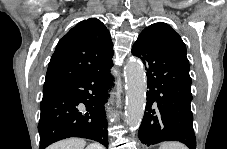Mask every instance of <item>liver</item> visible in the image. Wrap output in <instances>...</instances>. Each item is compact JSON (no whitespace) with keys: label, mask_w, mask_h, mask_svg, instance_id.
<instances>
[{"label":"liver","mask_w":227,"mask_h":149,"mask_svg":"<svg viewBox=\"0 0 227 149\" xmlns=\"http://www.w3.org/2000/svg\"><path fill=\"white\" fill-rule=\"evenodd\" d=\"M86 145L85 140L80 138H69L53 145L49 146L48 149H84ZM99 149H103V146L98 145Z\"/></svg>","instance_id":"6515ba94"}]
</instances>
